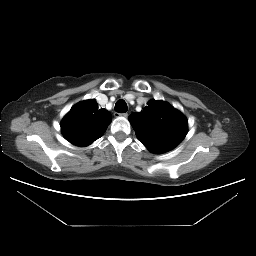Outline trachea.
Masks as SVG:
<instances>
[{
	"label": "trachea",
	"instance_id": "1",
	"mask_svg": "<svg viewBox=\"0 0 256 256\" xmlns=\"http://www.w3.org/2000/svg\"><path fill=\"white\" fill-rule=\"evenodd\" d=\"M128 110L127 104L123 99H120L115 104V111L118 113H126Z\"/></svg>",
	"mask_w": 256,
	"mask_h": 256
}]
</instances>
